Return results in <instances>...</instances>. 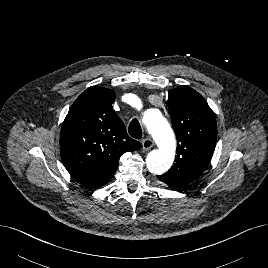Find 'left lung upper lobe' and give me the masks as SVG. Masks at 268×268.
<instances>
[{"mask_svg": "<svg viewBox=\"0 0 268 268\" xmlns=\"http://www.w3.org/2000/svg\"><path fill=\"white\" fill-rule=\"evenodd\" d=\"M167 105L177 137V155L171 169L158 178L171 188H180L207 168L216 144L217 124L206 100L189 86L170 90Z\"/></svg>", "mask_w": 268, "mask_h": 268, "instance_id": "left-lung-upper-lobe-1", "label": "left lung upper lobe"}]
</instances>
